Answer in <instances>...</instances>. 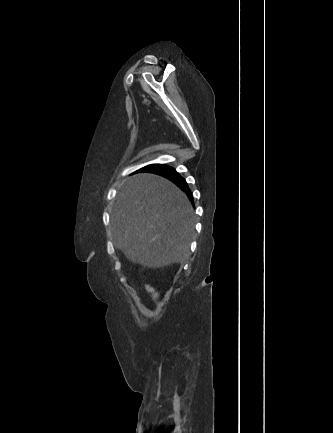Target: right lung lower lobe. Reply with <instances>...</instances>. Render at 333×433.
Instances as JSON below:
<instances>
[{"instance_id": "obj_1", "label": "right lung lower lobe", "mask_w": 333, "mask_h": 433, "mask_svg": "<svg viewBox=\"0 0 333 433\" xmlns=\"http://www.w3.org/2000/svg\"><path fill=\"white\" fill-rule=\"evenodd\" d=\"M138 172L156 173L167 178L168 180L176 184L181 190H183L188 195V197L193 201L192 193L186 181L176 172L174 168L164 164H152L140 169Z\"/></svg>"}]
</instances>
